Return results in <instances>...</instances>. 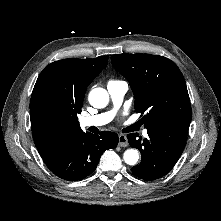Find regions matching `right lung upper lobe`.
Segmentation results:
<instances>
[{
	"instance_id": "cb5924a9",
	"label": "right lung upper lobe",
	"mask_w": 221,
	"mask_h": 221,
	"mask_svg": "<svg viewBox=\"0 0 221 221\" xmlns=\"http://www.w3.org/2000/svg\"><path fill=\"white\" fill-rule=\"evenodd\" d=\"M108 56L95 59H64L46 68L58 67L74 92L84 99L88 85L107 66ZM30 119L34 142L40 154L57 148L73 137L84 133L78 120L46 114L30 106Z\"/></svg>"
}]
</instances>
